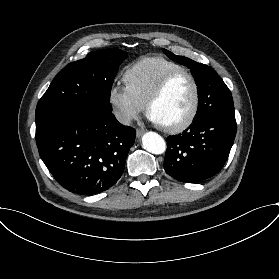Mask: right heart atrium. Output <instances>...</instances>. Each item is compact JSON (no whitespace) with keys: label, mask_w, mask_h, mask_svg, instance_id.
<instances>
[{"label":"right heart atrium","mask_w":279,"mask_h":279,"mask_svg":"<svg viewBox=\"0 0 279 279\" xmlns=\"http://www.w3.org/2000/svg\"><path fill=\"white\" fill-rule=\"evenodd\" d=\"M110 105L116 110V118L122 124L137 119L146 109V101L128 85L113 84L108 92Z\"/></svg>","instance_id":"1"}]
</instances>
